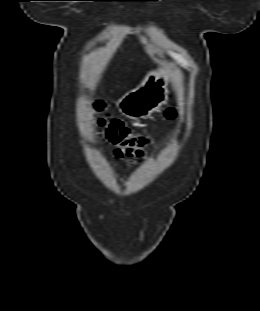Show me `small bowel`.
I'll use <instances>...</instances> for the list:
<instances>
[{
  "instance_id": "small-bowel-1",
  "label": "small bowel",
  "mask_w": 260,
  "mask_h": 311,
  "mask_svg": "<svg viewBox=\"0 0 260 311\" xmlns=\"http://www.w3.org/2000/svg\"><path fill=\"white\" fill-rule=\"evenodd\" d=\"M132 163H133V161L130 160V161L127 162V165H131Z\"/></svg>"
}]
</instances>
